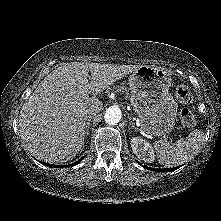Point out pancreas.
I'll list each match as a JSON object with an SVG mask.
<instances>
[{
	"label": "pancreas",
	"instance_id": "pancreas-1",
	"mask_svg": "<svg viewBox=\"0 0 221 221\" xmlns=\"http://www.w3.org/2000/svg\"><path fill=\"white\" fill-rule=\"evenodd\" d=\"M118 92L121 93H128V89L127 87L123 86V85H117L116 87H114Z\"/></svg>",
	"mask_w": 221,
	"mask_h": 221
}]
</instances>
